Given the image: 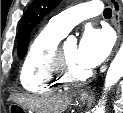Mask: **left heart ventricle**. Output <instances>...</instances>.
I'll list each match as a JSON object with an SVG mask.
<instances>
[{"instance_id": "left-heart-ventricle-1", "label": "left heart ventricle", "mask_w": 123, "mask_h": 113, "mask_svg": "<svg viewBox=\"0 0 123 113\" xmlns=\"http://www.w3.org/2000/svg\"><path fill=\"white\" fill-rule=\"evenodd\" d=\"M64 53L69 66L74 72L84 73L87 71V69L81 66L77 61V46L75 44H66L64 46Z\"/></svg>"}]
</instances>
